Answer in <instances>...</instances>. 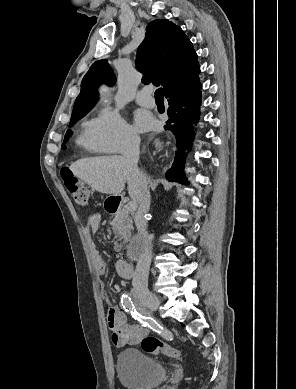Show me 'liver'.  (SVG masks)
I'll use <instances>...</instances> for the list:
<instances>
[{
  "mask_svg": "<svg viewBox=\"0 0 296 389\" xmlns=\"http://www.w3.org/2000/svg\"><path fill=\"white\" fill-rule=\"evenodd\" d=\"M73 175L97 192L117 196L128 184V193L136 203L140 202L141 185L124 156L82 158L70 166Z\"/></svg>",
  "mask_w": 296,
  "mask_h": 389,
  "instance_id": "6515ba94",
  "label": "liver"
}]
</instances>
